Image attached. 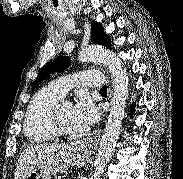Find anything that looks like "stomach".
Listing matches in <instances>:
<instances>
[{"label":"stomach","instance_id":"1","mask_svg":"<svg viewBox=\"0 0 183 179\" xmlns=\"http://www.w3.org/2000/svg\"><path fill=\"white\" fill-rule=\"evenodd\" d=\"M90 156L87 147L76 143L64 145L48 160L32 170L25 179H51V175L63 171L69 166L82 167Z\"/></svg>","mask_w":183,"mask_h":179}]
</instances>
